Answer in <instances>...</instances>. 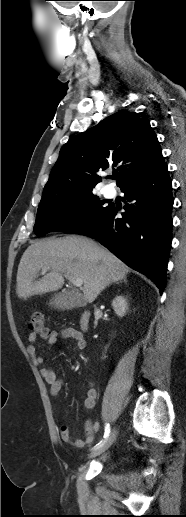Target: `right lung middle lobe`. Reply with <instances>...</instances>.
I'll return each instance as SVG.
<instances>
[{
  "label": "right lung middle lobe",
  "instance_id": "dd1d6c3e",
  "mask_svg": "<svg viewBox=\"0 0 186 517\" xmlns=\"http://www.w3.org/2000/svg\"><path fill=\"white\" fill-rule=\"evenodd\" d=\"M93 194L92 190L74 192L38 206L34 233L41 237L51 231L75 232L89 225L109 206Z\"/></svg>",
  "mask_w": 186,
  "mask_h": 517
}]
</instances>
